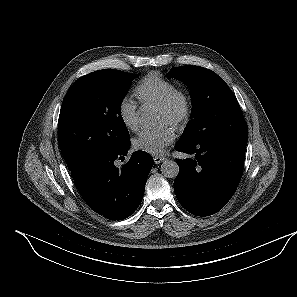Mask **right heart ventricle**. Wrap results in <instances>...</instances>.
Returning a JSON list of instances; mask_svg holds the SVG:
<instances>
[{
  "label": "right heart ventricle",
  "mask_w": 297,
  "mask_h": 297,
  "mask_svg": "<svg viewBox=\"0 0 297 297\" xmlns=\"http://www.w3.org/2000/svg\"><path fill=\"white\" fill-rule=\"evenodd\" d=\"M175 88L171 81L149 73L136 85L134 94L142 106L158 105Z\"/></svg>",
  "instance_id": "e07e8e85"
}]
</instances>
